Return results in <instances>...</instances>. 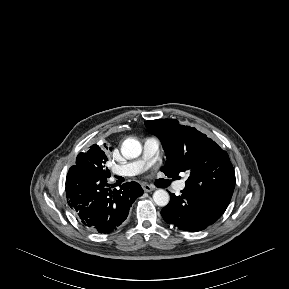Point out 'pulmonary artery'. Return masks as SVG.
<instances>
[{
    "label": "pulmonary artery",
    "instance_id": "obj_1",
    "mask_svg": "<svg viewBox=\"0 0 289 289\" xmlns=\"http://www.w3.org/2000/svg\"><path fill=\"white\" fill-rule=\"evenodd\" d=\"M159 149L160 141L155 137H149L144 142L143 153L139 159L123 165H115L112 167V172L119 176L140 174L156 161ZM184 188L185 183L183 181L178 182L175 186L176 191H182Z\"/></svg>",
    "mask_w": 289,
    "mask_h": 289
}]
</instances>
